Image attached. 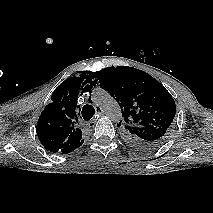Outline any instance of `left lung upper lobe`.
Listing matches in <instances>:
<instances>
[{"instance_id":"1","label":"left lung upper lobe","mask_w":213,"mask_h":213,"mask_svg":"<svg viewBox=\"0 0 213 213\" xmlns=\"http://www.w3.org/2000/svg\"><path fill=\"white\" fill-rule=\"evenodd\" d=\"M100 87L110 92L122 110L125 140L134 148L150 150L164 144L174 129L176 106L171 94L148 73L127 66L97 72Z\"/></svg>"}]
</instances>
